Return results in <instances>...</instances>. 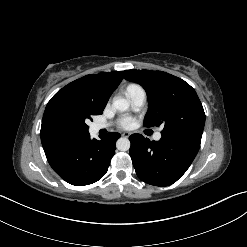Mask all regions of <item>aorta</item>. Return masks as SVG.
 I'll use <instances>...</instances> for the list:
<instances>
[{
  "mask_svg": "<svg viewBox=\"0 0 247 247\" xmlns=\"http://www.w3.org/2000/svg\"><path fill=\"white\" fill-rule=\"evenodd\" d=\"M113 107L118 111H125L129 108V101L125 98H115ZM130 141L126 137H121L116 142V147L120 151H128L130 149Z\"/></svg>",
  "mask_w": 247,
  "mask_h": 247,
  "instance_id": "aorta-1",
  "label": "aorta"
}]
</instances>
